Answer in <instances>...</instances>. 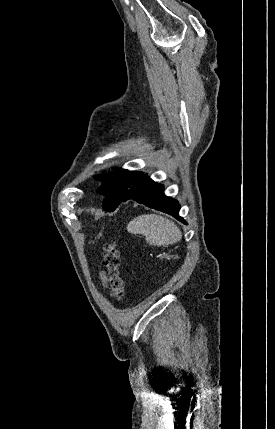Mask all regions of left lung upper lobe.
<instances>
[{
  "instance_id": "5c2ea615",
  "label": "left lung upper lobe",
  "mask_w": 275,
  "mask_h": 429,
  "mask_svg": "<svg viewBox=\"0 0 275 429\" xmlns=\"http://www.w3.org/2000/svg\"><path fill=\"white\" fill-rule=\"evenodd\" d=\"M143 175L142 172H132L124 169L114 170L113 173L100 174L94 176L96 180L102 181L97 193L104 194L103 208L106 211H113L122 201V197L130 186Z\"/></svg>"
}]
</instances>
